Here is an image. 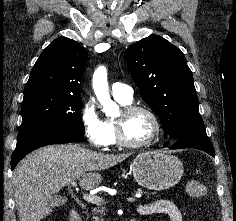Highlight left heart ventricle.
<instances>
[{
    "instance_id": "obj_1",
    "label": "left heart ventricle",
    "mask_w": 236,
    "mask_h": 221,
    "mask_svg": "<svg viewBox=\"0 0 236 221\" xmlns=\"http://www.w3.org/2000/svg\"><path fill=\"white\" fill-rule=\"evenodd\" d=\"M124 131L128 140L143 142L152 136L154 123L148 114L137 112L125 120Z\"/></svg>"
}]
</instances>
